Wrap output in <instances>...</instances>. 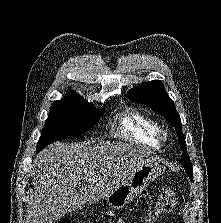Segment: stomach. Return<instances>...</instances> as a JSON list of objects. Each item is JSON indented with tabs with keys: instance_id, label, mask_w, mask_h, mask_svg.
<instances>
[{
	"instance_id": "stomach-1",
	"label": "stomach",
	"mask_w": 221,
	"mask_h": 223,
	"mask_svg": "<svg viewBox=\"0 0 221 223\" xmlns=\"http://www.w3.org/2000/svg\"><path fill=\"white\" fill-rule=\"evenodd\" d=\"M160 173L161 166L155 161L137 165L127 179L105 197L106 202L114 209L125 207L138 194L142 193Z\"/></svg>"
}]
</instances>
